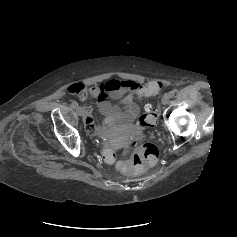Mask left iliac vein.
<instances>
[{"label": "left iliac vein", "instance_id": "obj_1", "mask_svg": "<svg viewBox=\"0 0 237 237\" xmlns=\"http://www.w3.org/2000/svg\"><path fill=\"white\" fill-rule=\"evenodd\" d=\"M168 102H169V96H168V95H164V96L162 97V99H161V103H162L163 105H167Z\"/></svg>", "mask_w": 237, "mask_h": 237}]
</instances>
